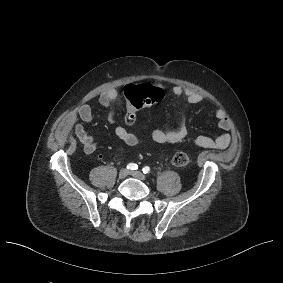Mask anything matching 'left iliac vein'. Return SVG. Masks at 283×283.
Returning a JSON list of instances; mask_svg holds the SVG:
<instances>
[{
  "label": "left iliac vein",
  "instance_id": "left-iliac-vein-1",
  "mask_svg": "<svg viewBox=\"0 0 283 283\" xmlns=\"http://www.w3.org/2000/svg\"><path fill=\"white\" fill-rule=\"evenodd\" d=\"M130 174H131L133 177H135V178H137V179H140V180H142V181H145V180H146V176H145L144 174H142L141 172H139V171H132V172H130Z\"/></svg>",
  "mask_w": 283,
  "mask_h": 283
}]
</instances>
